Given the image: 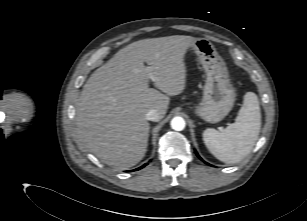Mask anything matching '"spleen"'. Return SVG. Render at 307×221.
Instances as JSON below:
<instances>
[{
	"label": "spleen",
	"instance_id": "3e777b00",
	"mask_svg": "<svg viewBox=\"0 0 307 221\" xmlns=\"http://www.w3.org/2000/svg\"><path fill=\"white\" fill-rule=\"evenodd\" d=\"M260 128L261 112L258 97L253 92H247L235 123L221 132L213 128L205 129L203 141L218 160L234 164L251 152L258 139Z\"/></svg>",
	"mask_w": 307,
	"mask_h": 221
}]
</instances>
